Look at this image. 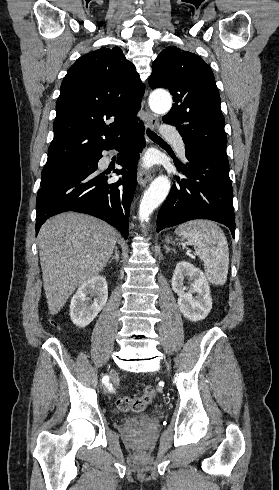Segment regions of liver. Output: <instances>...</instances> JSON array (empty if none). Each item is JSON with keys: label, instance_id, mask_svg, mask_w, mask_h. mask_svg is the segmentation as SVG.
Segmentation results:
<instances>
[{"label": "liver", "instance_id": "obj_1", "mask_svg": "<svg viewBox=\"0 0 279 490\" xmlns=\"http://www.w3.org/2000/svg\"><path fill=\"white\" fill-rule=\"evenodd\" d=\"M117 236L106 222L75 212L53 216L43 224L37 244L51 316L64 308L76 288L104 270Z\"/></svg>", "mask_w": 279, "mask_h": 490}]
</instances>
